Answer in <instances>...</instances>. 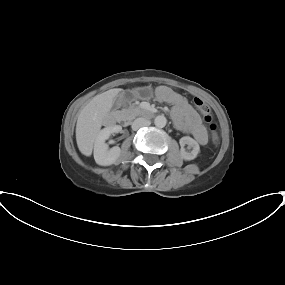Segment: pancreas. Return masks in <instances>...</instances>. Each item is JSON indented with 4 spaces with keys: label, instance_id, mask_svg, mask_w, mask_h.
Masks as SVG:
<instances>
[{
    "label": "pancreas",
    "instance_id": "obj_1",
    "mask_svg": "<svg viewBox=\"0 0 285 285\" xmlns=\"http://www.w3.org/2000/svg\"><path fill=\"white\" fill-rule=\"evenodd\" d=\"M124 112L127 114V119L132 120L140 114L141 110L136 105H131L128 109H125Z\"/></svg>",
    "mask_w": 285,
    "mask_h": 285
}]
</instances>
